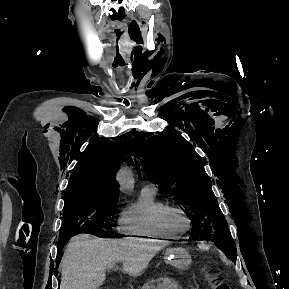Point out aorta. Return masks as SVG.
I'll list each match as a JSON object with an SVG mask.
<instances>
[{"mask_svg": "<svg viewBox=\"0 0 289 289\" xmlns=\"http://www.w3.org/2000/svg\"><path fill=\"white\" fill-rule=\"evenodd\" d=\"M117 181L120 189L124 192H130L134 188V178L131 170L123 167L117 174Z\"/></svg>", "mask_w": 289, "mask_h": 289, "instance_id": "762f6f07", "label": "aorta"}]
</instances>
